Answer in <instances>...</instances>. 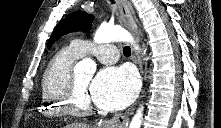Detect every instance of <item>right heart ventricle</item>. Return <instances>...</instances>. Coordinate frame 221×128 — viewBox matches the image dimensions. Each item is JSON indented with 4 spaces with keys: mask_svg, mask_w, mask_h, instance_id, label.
Instances as JSON below:
<instances>
[{
    "mask_svg": "<svg viewBox=\"0 0 221 128\" xmlns=\"http://www.w3.org/2000/svg\"><path fill=\"white\" fill-rule=\"evenodd\" d=\"M82 55L72 45L59 50L49 61L41 82L39 113L48 118L67 114L65 95L73 77V67Z\"/></svg>",
    "mask_w": 221,
    "mask_h": 128,
    "instance_id": "e07e8e85",
    "label": "right heart ventricle"
}]
</instances>
